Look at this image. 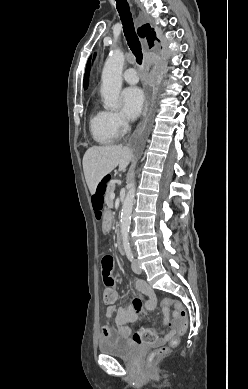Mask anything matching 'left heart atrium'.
I'll return each instance as SVG.
<instances>
[{
  "mask_svg": "<svg viewBox=\"0 0 248 389\" xmlns=\"http://www.w3.org/2000/svg\"><path fill=\"white\" fill-rule=\"evenodd\" d=\"M121 103L124 115L129 119L136 118L142 111L144 95L138 87H128L121 93Z\"/></svg>",
  "mask_w": 248,
  "mask_h": 389,
  "instance_id": "39dd6f15",
  "label": "left heart atrium"
}]
</instances>
